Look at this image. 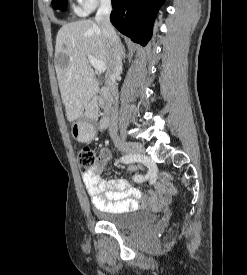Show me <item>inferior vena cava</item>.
I'll list each match as a JSON object with an SVG mask.
<instances>
[{
    "mask_svg": "<svg viewBox=\"0 0 247 275\" xmlns=\"http://www.w3.org/2000/svg\"><path fill=\"white\" fill-rule=\"evenodd\" d=\"M111 1L104 0L100 8L97 11L95 20L100 26L102 34L107 42L109 54H110V63L109 68L106 73V84L109 88L111 95V101L113 103V109L111 112V119L109 125V134L111 139L117 143L119 142L118 132V89L116 87V79L122 72V54L123 46L121 44L120 38L117 36L110 20L111 12Z\"/></svg>",
    "mask_w": 247,
    "mask_h": 275,
    "instance_id": "602c4592",
    "label": "inferior vena cava"
}]
</instances>
